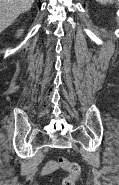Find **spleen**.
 Listing matches in <instances>:
<instances>
[{"mask_svg":"<svg viewBox=\"0 0 119 185\" xmlns=\"http://www.w3.org/2000/svg\"><path fill=\"white\" fill-rule=\"evenodd\" d=\"M97 2L101 3V4H113V0H96Z\"/></svg>","mask_w":119,"mask_h":185,"instance_id":"3e777b00","label":"spleen"}]
</instances>
